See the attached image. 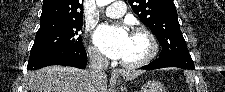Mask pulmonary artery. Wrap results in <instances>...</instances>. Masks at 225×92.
I'll list each match as a JSON object with an SVG mask.
<instances>
[{
	"label": "pulmonary artery",
	"mask_w": 225,
	"mask_h": 92,
	"mask_svg": "<svg viewBox=\"0 0 225 92\" xmlns=\"http://www.w3.org/2000/svg\"><path fill=\"white\" fill-rule=\"evenodd\" d=\"M108 7L105 10V15L111 18H118L126 12V5L124 2L107 0Z\"/></svg>",
	"instance_id": "pulmonary-artery-1"
}]
</instances>
